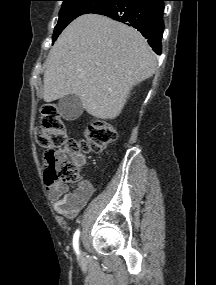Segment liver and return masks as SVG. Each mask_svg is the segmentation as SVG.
Listing matches in <instances>:
<instances>
[{
  "mask_svg": "<svg viewBox=\"0 0 216 285\" xmlns=\"http://www.w3.org/2000/svg\"><path fill=\"white\" fill-rule=\"evenodd\" d=\"M156 56L134 28L86 14L72 21L49 52L44 72L45 102L77 95L101 119L122 111L131 89L156 70Z\"/></svg>",
  "mask_w": 216,
  "mask_h": 285,
  "instance_id": "6515ba94",
  "label": "liver"
}]
</instances>
